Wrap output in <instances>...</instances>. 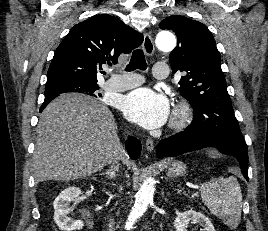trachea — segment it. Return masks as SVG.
<instances>
[{
  "mask_svg": "<svg viewBox=\"0 0 268 231\" xmlns=\"http://www.w3.org/2000/svg\"><path fill=\"white\" fill-rule=\"evenodd\" d=\"M147 64L145 55L141 49L134 50L129 64L126 67L127 71H134L136 69L146 70Z\"/></svg>",
  "mask_w": 268,
  "mask_h": 231,
  "instance_id": "3493384b",
  "label": "trachea"
}]
</instances>
